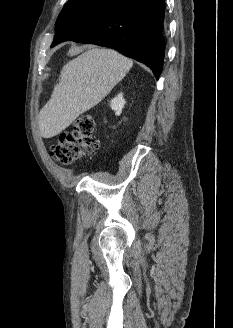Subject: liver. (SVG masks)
<instances>
[{"instance_id": "6515ba94", "label": "liver", "mask_w": 233, "mask_h": 328, "mask_svg": "<svg viewBox=\"0 0 233 328\" xmlns=\"http://www.w3.org/2000/svg\"><path fill=\"white\" fill-rule=\"evenodd\" d=\"M132 65L131 59L111 49L90 48L70 60L39 113L40 135L52 138L65 130L105 98Z\"/></svg>"}]
</instances>
